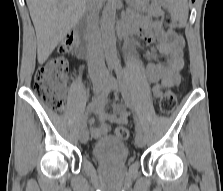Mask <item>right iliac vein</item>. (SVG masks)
Masks as SVG:
<instances>
[{
  "label": "right iliac vein",
  "instance_id": "obj_1",
  "mask_svg": "<svg viewBox=\"0 0 223 191\" xmlns=\"http://www.w3.org/2000/svg\"><path fill=\"white\" fill-rule=\"evenodd\" d=\"M105 81L104 80H94L93 81V91L97 95L101 92V90L105 87ZM89 139V133L85 128L81 129L80 131V141L82 143H86Z\"/></svg>",
  "mask_w": 223,
  "mask_h": 191
}]
</instances>
